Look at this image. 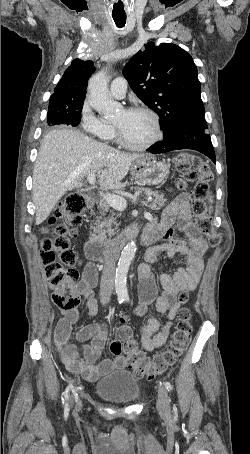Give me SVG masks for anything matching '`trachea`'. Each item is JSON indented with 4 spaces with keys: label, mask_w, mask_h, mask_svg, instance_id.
Returning a JSON list of instances; mask_svg holds the SVG:
<instances>
[{
    "label": "trachea",
    "mask_w": 250,
    "mask_h": 454,
    "mask_svg": "<svg viewBox=\"0 0 250 454\" xmlns=\"http://www.w3.org/2000/svg\"><path fill=\"white\" fill-rule=\"evenodd\" d=\"M113 19L117 27L121 28L125 25L126 23V16H114Z\"/></svg>",
    "instance_id": "1"
}]
</instances>
